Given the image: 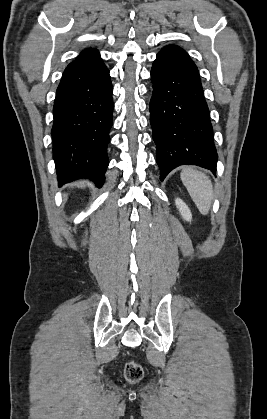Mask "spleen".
Wrapping results in <instances>:
<instances>
[{"mask_svg":"<svg viewBox=\"0 0 267 419\" xmlns=\"http://www.w3.org/2000/svg\"><path fill=\"white\" fill-rule=\"evenodd\" d=\"M180 177L200 213L207 215L213 200V186L208 176L188 166L182 169Z\"/></svg>","mask_w":267,"mask_h":419,"instance_id":"1","label":"spleen"}]
</instances>
